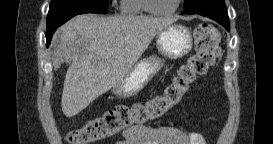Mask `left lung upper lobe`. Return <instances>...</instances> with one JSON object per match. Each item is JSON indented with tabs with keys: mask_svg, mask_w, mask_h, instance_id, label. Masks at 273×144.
Here are the masks:
<instances>
[{
	"mask_svg": "<svg viewBox=\"0 0 273 144\" xmlns=\"http://www.w3.org/2000/svg\"><path fill=\"white\" fill-rule=\"evenodd\" d=\"M221 2V3H219ZM209 5L225 6L224 0H185L184 12L186 14H194L195 11Z\"/></svg>",
	"mask_w": 273,
	"mask_h": 144,
	"instance_id": "obj_1",
	"label": "left lung upper lobe"
}]
</instances>
